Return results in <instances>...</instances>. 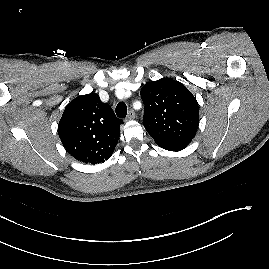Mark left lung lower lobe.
Wrapping results in <instances>:
<instances>
[{"instance_id":"left-lung-lower-lobe-1","label":"left lung lower lobe","mask_w":269,"mask_h":269,"mask_svg":"<svg viewBox=\"0 0 269 269\" xmlns=\"http://www.w3.org/2000/svg\"><path fill=\"white\" fill-rule=\"evenodd\" d=\"M184 148H185L184 146H173V147H166L164 149L169 150V151H180Z\"/></svg>"}]
</instances>
